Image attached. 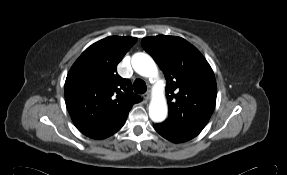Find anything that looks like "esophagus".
Instances as JSON below:
<instances>
[{"instance_id":"34e87169","label":"esophagus","mask_w":287,"mask_h":175,"mask_svg":"<svg viewBox=\"0 0 287 175\" xmlns=\"http://www.w3.org/2000/svg\"><path fill=\"white\" fill-rule=\"evenodd\" d=\"M151 97V92L150 91H147L145 94H143V98L144 99H150Z\"/></svg>"}]
</instances>
